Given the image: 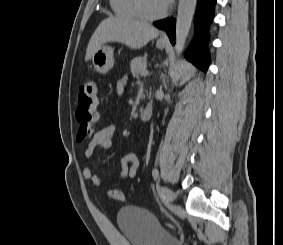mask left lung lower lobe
<instances>
[{
  "label": "left lung lower lobe",
  "instance_id": "left-lung-lower-lobe-1",
  "mask_svg": "<svg viewBox=\"0 0 283 245\" xmlns=\"http://www.w3.org/2000/svg\"><path fill=\"white\" fill-rule=\"evenodd\" d=\"M216 0H198L195 14L196 39L186 53V58L201 70L206 71L209 66V54L205 44L206 31L213 19ZM158 28H165L172 44L175 42V20L173 18L154 22Z\"/></svg>",
  "mask_w": 283,
  "mask_h": 245
}]
</instances>
